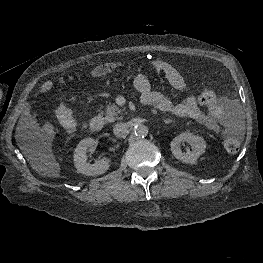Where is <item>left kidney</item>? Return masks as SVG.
<instances>
[{
    "label": "left kidney",
    "mask_w": 263,
    "mask_h": 263,
    "mask_svg": "<svg viewBox=\"0 0 263 263\" xmlns=\"http://www.w3.org/2000/svg\"><path fill=\"white\" fill-rule=\"evenodd\" d=\"M187 142L192 147V151L182 152L181 144ZM171 151L175 158L185 163L194 164L196 160L205 152V140L192 133H181L171 141Z\"/></svg>",
    "instance_id": "5707ae66"
}]
</instances>
